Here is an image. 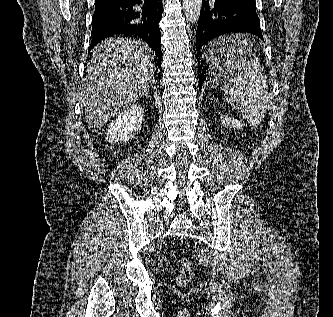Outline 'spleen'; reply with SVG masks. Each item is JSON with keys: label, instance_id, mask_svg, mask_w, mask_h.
Masks as SVG:
<instances>
[{"label": "spleen", "instance_id": "3e777b00", "mask_svg": "<svg viewBox=\"0 0 333 317\" xmlns=\"http://www.w3.org/2000/svg\"><path fill=\"white\" fill-rule=\"evenodd\" d=\"M228 50L230 72L224 85L229 105L244 116L250 126H257L264 118L269 101L267 84L259 61L250 53V42L243 35L222 38Z\"/></svg>", "mask_w": 333, "mask_h": 317}]
</instances>
